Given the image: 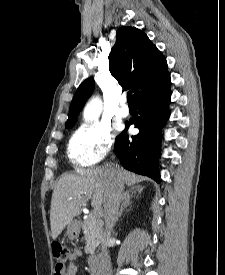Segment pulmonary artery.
I'll use <instances>...</instances> for the list:
<instances>
[{
    "mask_svg": "<svg viewBox=\"0 0 225 275\" xmlns=\"http://www.w3.org/2000/svg\"><path fill=\"white\" fill-rule=\"evenodd\" d=\"M118 115L121 116V117H127L129 115V109L125 105L124 101L118 109Z\"/></svg>",
    "mask_w": 225,
    "mask_h": 275,
    "instance_id": "e3ab8cb5",
    "label": "pulmonary artery"
}]
</instances>
